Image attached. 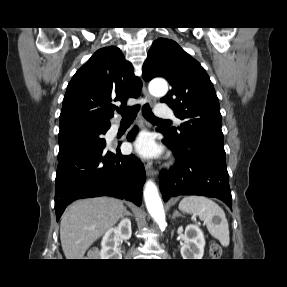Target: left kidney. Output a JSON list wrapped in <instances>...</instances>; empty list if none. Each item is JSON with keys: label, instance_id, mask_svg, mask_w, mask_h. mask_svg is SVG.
I'll return each mask as SVG.
<instances>
[{"label": "left kidney", "instance_id": "obj_1", "mask_svg": "<svg viewBox=\"0 0 287 287\" xmlns=\"http://www.w3.org/2000/svg\"><path fill=\"white\" fill-rule=\"evenodd\" d=\"M185 244L180 252L183 259H202L204 255L205 238L202 230L194 224L185 229Z\"/></svg>", "mask_w": 287, "mask_h": 287}]
</instances>
